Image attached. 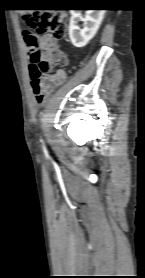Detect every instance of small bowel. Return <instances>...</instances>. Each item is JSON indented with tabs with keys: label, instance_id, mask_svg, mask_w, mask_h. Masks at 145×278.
<instances>
[{
	"label": "small bowel",
	"instance_id": "small-bowel-1",
	"mask_svg": "<svg viewBox=\"0 0 145 278\" xmlns=\"http://www.w3.org/2000/svg\"><path fill=\"white\" fill-rule=\"evenodd\" d=\"M38 41L41 44H50L53 43L54 45L58 46V40L56 38H54L51 35H42L37 37ZM66 73L63 69H58L55 72H45L43 74L42 79L39 81V85L42 89V91L46 94L49 95L56 87H58L59 85H61L65 80H66ZM57 80L58 83L56 84H49L48 82L51 80ZM33 85V82H31Z\"/></svg>",
	"mask_w": 145,
	"mask_h": 278
}]
</instances>
